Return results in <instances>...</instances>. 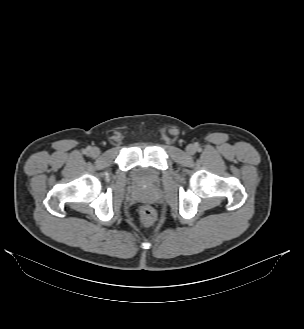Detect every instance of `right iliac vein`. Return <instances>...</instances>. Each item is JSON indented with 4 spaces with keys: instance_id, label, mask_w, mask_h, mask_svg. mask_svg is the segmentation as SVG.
Segmentation results:
<instances>
[{
    "instance_id": "63e3f726",
    "label": "right iliac vein",
    "mask_w": 304,
    "mask_h": 329,
    "mask_svg": "<svg viewBox=\"0 0 304 329\" xmlns=\"http://www.w3.org/2000/svg\"><path fill=\"white\" fill-rule=\"evenodd\" d=\"M90 155H91L92 157H98V156L100 155V149L97 148V147H93V148H91V150H90Z\"/></svg>"
}]
</instances>
